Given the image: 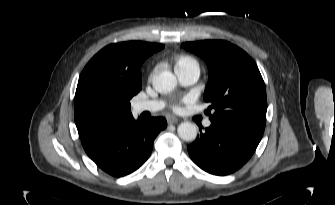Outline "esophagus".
<instances>
[{"instance_id":"esophagus-1","label":"esophagus","mask_w":335,"mask_h":205,"mask_svg":"<svg viewBox=\"0 0 335 205\" xmlns=\"http://www.w3.org/2000/svg\"><path fill=\"white\" fill-rule=\"evenodd\" d=\"M167 122L168 124H175V123H178V119L175 117H168Z\"/></svg>"}]
</instances>
